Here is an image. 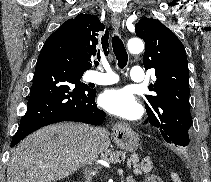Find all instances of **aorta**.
Segmentation results:
<instances>
[{"label":"aorta","instance_id":"1","mask_svg":"<svg viewBox=\"0 0 211 182\" xmlns=\"http://www.w3.org/2000/svg\"><path fill=\"white\" fill-rule=\"evenodd\" d=\"M127 46H128V50L131 52V53H140L143 51L144 49V43L141 39L139 38H132L128 41L127 43Z\"/></svg>","mask_w":211,"mask_h":182}]
</instances>
